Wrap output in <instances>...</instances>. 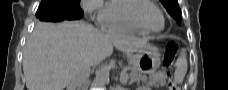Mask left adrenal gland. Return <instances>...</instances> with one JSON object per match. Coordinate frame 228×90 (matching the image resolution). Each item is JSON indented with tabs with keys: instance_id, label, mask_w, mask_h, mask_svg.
I'll list each match as a JSON object with an SVG mask.
<instances>
[{
	"instance_id": "a2214340",
	"label": "left adrenal gland",
	"mask_w": 228,
	"mask_h": 90,
	"mask_svg": "<svg viewBox=\"0 0 228 90\" xmlns=\"http://www.w3.org/2000/svg\"><path fill=\"white\" fill-rule=\"evenodd\" d=\"M121 83L123 84V85H125L126 84V80H121Z\"/></svg>"
}]
</instances>
